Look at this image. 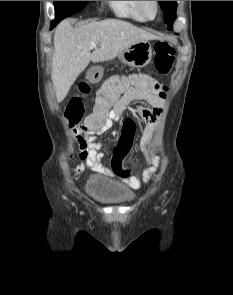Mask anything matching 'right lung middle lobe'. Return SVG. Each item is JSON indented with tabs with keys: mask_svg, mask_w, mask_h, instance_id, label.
<instances>
[{
	"mask_svg": "<svg viewBox=\"0 0 233 295\" xmlns=\"http://www.w3.org/2000/svg\"><path fill=\"white\" fill-rule=\"evenodd\" d=\"M88 1H54L56 19L62 20L66 17L80 12Z\"/></svg>",
	"mask_w": 233,
	"mask_h": 295,
	"instance_id": "right-lung-middle-lobe-1",
	"label": "right lung middle lobe"
}]
</instances>
